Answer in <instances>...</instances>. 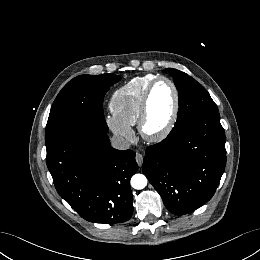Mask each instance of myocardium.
I'll list each match as a JSON object with an SVG mask.
<instances>
[{
	"label": "myocardium",
	"instance_id": "myocardium-1",
	"mask_svg": "<svg viewBox=\"0 0 260 260\" xmlns=\"http://www.w3.org/2000/svg\"><path fill=\"white\" fill-rule=\"evenodd\" d=\"M160 82H167L171 86L174 93V108H173L171 118L168 124L166 125V127L158 133L150 134L146 130V122L149 113V104H150L151 95L155 87L157 86V84ZM180 105H181L180 93L176 84L170 78L164 76H159L156 79H154L152 83L149 85V87L147 88L142 98L139 118L137 121V127L141 137L148 142H160L165 140L171 134V132L173 131L177 123L179 113H180Z\"/></svg>",
	"mask_w": 260,
	"mask_h": 260
}]
</instances>
